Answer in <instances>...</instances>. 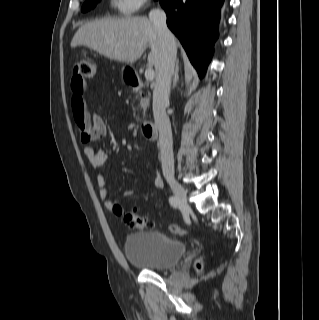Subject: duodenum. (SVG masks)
Returning a JSON list of instances; mask_svg holds the SVG:
<instances>
[{
    "mask_svg": "<svg viewBox=\"0 0 319 320\" xmlns=\"http://www.w3.org/2000/svg\"><path fill=\"white\" fill-rule=\"evenodd\" d=\"M126 79L128 83L135 88H139L141 86L139 77L132 71L126 74ZM142 131L149 141H154L158 138V128L152 122H144L142 124Z\"/></svg>",
    "mask_w": 319,
    "mask_h": 320,
    "instance_id": "obj_1",
    "label": "duodenum"
}]
</instances>
